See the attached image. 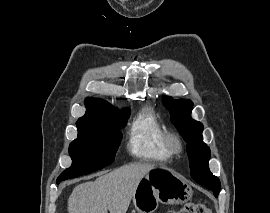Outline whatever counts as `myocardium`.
<instances>
[{
	"label": "myocardium",
	"instance_id": "f54148a6",
	"mask_svg": "<svg viewBox=\"0 0 270 213\" xmlns=\"http://www.w3.org/2000/svg\"><path fill=\"white\" fill-rule=\"evenodd\" d=\"M165 145L171 155H176L182 152L183 142L181 137L175 132H167L165 136Z\"/></svg>",
	"mask_w": 270,
	"mask_h": 213
}]
</instances>
